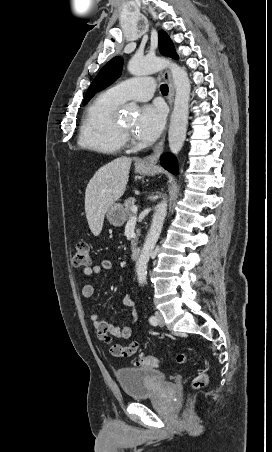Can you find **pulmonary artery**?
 Instances as JSON below:
<instances>
[{
	"mask_svg": "<svg viewBox=\"0 0 272 452\" xmlns=\"http://www.w3.org/2000/svg\"><path fill=\"white\" fill-rule=\"evenodd\" d=\"M154 91L151 78H131L112 86L108 92L119 102L128 100L143 102L149 100Z\"/></svg>",
	"mask_w": 272,
	"mask_h": 452,
	"instance_id": "1",
	"label": "pulmonary artery"
}]
</instances>
